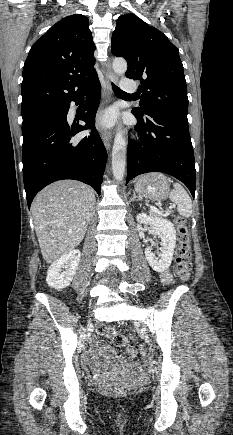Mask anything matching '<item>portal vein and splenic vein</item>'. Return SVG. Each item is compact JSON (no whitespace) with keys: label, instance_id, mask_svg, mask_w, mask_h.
I'll list each match as a JSON object with an SVG mask.
<instances>
[{"label":"portal vein and splenic vein","instance_id":"18ae733b","mask_svg":"<svg viewBox=\"0 0 233 435\" xmlns=\"http://www.w3.org/2000/svg\"><path fill=\"white\" fill-rule=\"evenodd\" d=\"M150 208H151L153 211L158 212L159 214H161V213L159 212V210H158L156 207L151 206ZM168 214H169V213L166 212V213H164V214H162V215L167 216Z\"/></svg>","mask_w":233,"mask_h":435}]
</instances>
